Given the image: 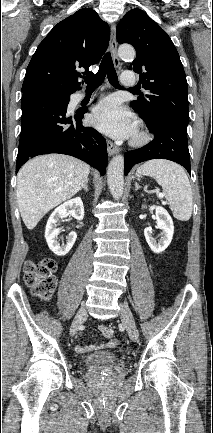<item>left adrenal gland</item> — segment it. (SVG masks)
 I'll return each mask as SVG.
<instances>
[{"label":"left adrenal gland","mask_w":213,"mask_h":433,"mask_svg":"<svg viewBox=\"0 0 213 433\" xmlns=\"http://www.w3.org/2000/svg\"><path fill=\"white\" fill-rule=\"evenodd\" d=\"M140 188L139 184L136 182L135 183V190L137 191Z\"/></svg>","instance_id":"a2214340"}]
</instances>
